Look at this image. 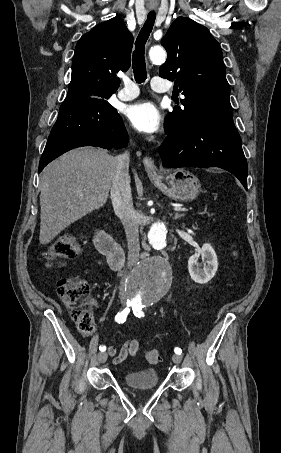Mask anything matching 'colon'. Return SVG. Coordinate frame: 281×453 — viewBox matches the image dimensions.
<instances>
[{
  "mask_svg": "<svg viewBox=\"0 0 281 453\" xmlns=\"http://www.w3.org/2000/svg\"><path fill=\"white\" fill-rule=\"evenodd\" d=\"M85 255L84 247L72 238H57L52 240L46 248L45 257L49 265L58 269L64 268L67 260ZM61 295L68 307L77 316V327L81 331L92 328V317L84 299L89 292V286L83 278H63L59 281ZM144 359L149 363H160L161 354L156 349H146L143 352Z\"/></svg>",
  "mask_w": 281,
  "mask_h": 453,
  "instance_id": "colon-1",
  "label": "colon"
}]
</instances>
